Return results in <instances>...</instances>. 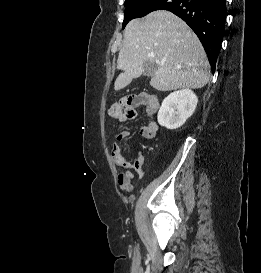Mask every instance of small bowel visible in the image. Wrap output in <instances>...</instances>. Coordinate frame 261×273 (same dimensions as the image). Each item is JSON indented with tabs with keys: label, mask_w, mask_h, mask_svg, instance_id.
<instances>
[{
	"label": "small bowel",
	"mask_w": 261,
	"mask_h": 273,
	"mask_svg": "<svg viewBox=\"0 0 261 273\" xmlns=\"http://www.w3.org/2000/svg\"><path fill=\"white\" fill-rule=\"evenodd\" d=\"M141 101L139 104L146 106V111L149 116L155 114L159 107V101L156 97L149 94L140 95ZM120 123H126L128 118L122 116L117 119ZM159 129L157 122L150 121L147 125L141 128L139 135L143 139H152L156 136V133ZM130 136V132L128 130L120 131L116 136V142L112 148V157L115 163L124 168L125 171L118 174V184L119 187L124 191H130L132 189V179L134 178V174L131 170H135L138 173L141 172L143 163H144V155L141 151H139L135 157L131 160L127 159L122 152V148L120 146V142L127 139Z\"/></svg>",
	"instance_id": "c3829d8e"
}]
</instances>
